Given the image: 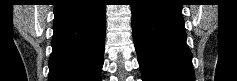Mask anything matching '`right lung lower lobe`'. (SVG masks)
I'll return each instance as SVG.
<instances>
[{
	"mask_svg": "<svg viewBox=\"0 0 237 81\" xmlns=\"http://www.w3.org/2000/svg\"><path fill=\"white\" fill-rule=\"evenodd\" d=\"M105 13L100 0H60L55 4L48 81H100Z\"/></svg>",
	"mask_w": 237,
	"mask_h": 81,
	"instance_id": "obj_1",
	"label": "right lung lower lobe"
}]
</instances>
